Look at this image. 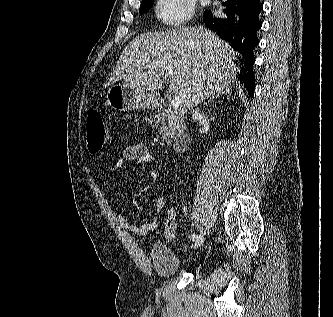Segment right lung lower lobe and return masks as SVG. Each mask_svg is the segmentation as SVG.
I'll use <instances>...</instances> for the list:
<instances>
[{
    "label": "right lung lower lobe",
    "instance_id": "1",
    "mask_svg": "<svg viewBox=\"0 0 333 317\" xmlns=\"http://www.w3.org/2000/svg\"><path fill=\"white\" fill-rule=\"evenodd\" d=\"M224 5V18H216L211 11L204 12L205 26L243 55L238 79L252 98L255 87L253 50L259 44L256 34L262 26L258 16L263 4L260 0H227Z\"/></svg>",
    "mask_w": 333,
    "mask_h": 317
}]
</instances>
